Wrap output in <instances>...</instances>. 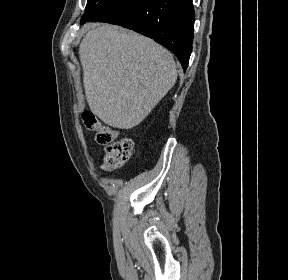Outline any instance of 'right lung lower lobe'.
<instances>
[{
    "label": "right lung lower lobe",
    "mask_w": 288,
    "mask_h": 280,
    "mask_svg": "<svg viewBox=\"0 0 288 280\" xmlns=\"http://www.w3.org/2000/svg\"><path fill=\"white\" fill-rule=\"evenodd\" d=\"M195 13L192 0H114L89 19L129 28L171 50L187 69L192 52Z\"/></svg>",
    "instance_id": "obj_1"
}]
</instances>
